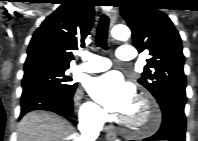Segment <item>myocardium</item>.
Listing matches in <instances>:
<instances>
[{
  "instance_id": "f54148a6",
  "label": "myocardium",
  "mask_w": 198,
  "mask_h": 141,
  "mask_svg": "<svg viewBox=\"0 0 198 141\" xmlns=\"http://www.w3.org/2000/svg\"><path fill=\"white\" fill-rule=\"evenodd\" d=\"M136 106L143 109L144 121L135 123L128 116H125L121 119L124 127L137 133L155 130L160 121V114L154 101L147 96H140L136 101Z\"/></svg>"
}]
</instances>
